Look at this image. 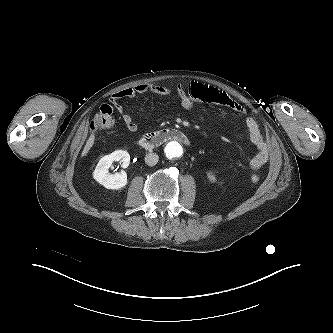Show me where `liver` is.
I'll use <instances>...</instances> for the list:
<instances>
[{
	"mask_svg": "<svg viewBox=\"0 0 333 333\" xmlns=\"http://www.w3.org/2000/svg\"><path fill=\"white\" fill-rule=\"evenodd\" d=\"M94 140H95V136H94V134H91L89 139L86 142V145H85L83 151H82V154H81L82 157L85 156L89 152V150L91 149V147L94 144Z\"/></svg>",
	"mask_w": 333,
	"mask_h": 333,
	"instance_id": "6515ba94",
	"label": "liver"
}]
</instances>
